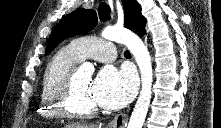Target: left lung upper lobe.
<instances>
[{
	"label": "left lung upper lobe",
	"instance_id": "obj_1",
	"mask_svg": "<svg viewBox=\"0 0 221 128\" xmlns=\"http://www.w3.org/2000/svg\"><path fill=\"white\" fill-rule=\"evenodd\" d=\"M125 9V27L132 30L139 36L145 33L146 20L141 15V7L136 0H123ZM99 18H109V8L101 4L98 10ZM98 22V15L93 9L79 8L62 18L54 28L46 47V54H49L59 42L79 34H86L92 30Z\"/></svg>",
	"mask_w": 221,
	"mask_h": 128
}]
</instances>
